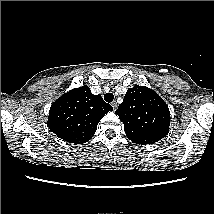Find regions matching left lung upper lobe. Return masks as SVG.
Returning a JSON list of instances; mask_svg holds the SVG:
<instances>
[{
	"mask_svg": "<svg viewBox=\"0 0 214 214\" xmlns=\"http://www.w3.org/2000/svg\"><path fill=\"white\" fill-rule=\"evenodd\" d=\"M115 113L124 124L126 136L133 143L152 144L169 132V108L164 100L148 87L135 85L129 88Z\"/></svg>",
	"mask_w": 214,
	"mask_h": 214,
	"instance_id": "obj_1",
	"label": "left lung upper lobe"
}]
</instances>
